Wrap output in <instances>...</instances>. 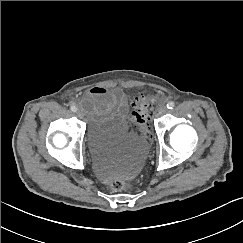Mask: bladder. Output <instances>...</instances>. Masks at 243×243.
I'll return each mask as SVG.
<instances>
[{
  "mask_svg": "<svg viewBox=\"0 0 243 243\" xmlns=\"http://www.w3.org/2000/svg\"><path fill=\"white\" fill-rule=\"evenodd\" d=\"M86 140L91 153L116 158L118 176L136 174L146 153L144 138L131 130L126 116H94L90 121Z\"/></svg>",
  "mask_w": 243,
  "mask_h": 243,
  "instance_id": "obj_1",
  "label": "bladder"
}]
</instances>
